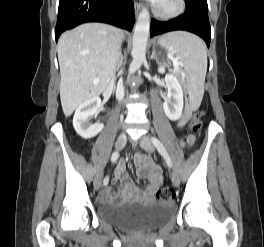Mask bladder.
I'll list each match as a JSON object with an SVG mask.
<instances>
[{
	"label": "bladder",
	"mask_w": 264,
	"mask_h": 247,
	"mask_svg": "<svg viewBox=\"0 0 264 247\" xmlns=\"http://www.w3.org/2000/svg\"><path fill=\"white\" fill-rule=\"evenodd\" d=\"M174 204L165 201L122 203L97 208L98 218L113 227L145 233L157 229L173 217Z\"/></svg>",
	"instance_id": "bladder-1"
}]
</instances>
